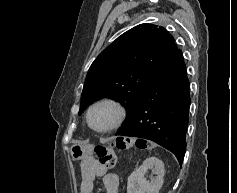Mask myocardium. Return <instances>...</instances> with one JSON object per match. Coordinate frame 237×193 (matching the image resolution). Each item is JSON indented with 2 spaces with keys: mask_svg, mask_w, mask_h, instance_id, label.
Segmentation results:
<instances>
[{
  "mask_svg": "<svg viewBox=\"0 0 237 193\" xmlns=\"http://www.w3.org/2000/svg\"><path fill=\"white\" fill-rule=\"evenodd\" d=\"M100 106H109L115 111V117L112 123L105 128H96L91 123V115L93 111ZM125 119H126L125 108L121 105L120 102L112 98H102L100 100H97L89 107L86 115V121L88 126L97 133H109L115 131L123 125Z\"/></svg>",
  "mask_w": 237,
  "mask_h": 193,
  "instance_id": "myocardium-1",
  "label": "myocardium"
}]
</instances>
